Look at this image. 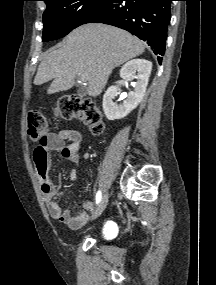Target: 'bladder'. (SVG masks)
<instances>
[{"mask_svg": "<svg viewBox=\"0 0 216 285\" xmlns=\"http://www.w3.org/2000/svg\"><path fill=\"white\" fill-rule=\"evenodd\" d=\"M113 232H114L113 226L109 223H106L101 231L103 237H110Z\"/></svg>", "mask_w": 216, "mask_h": 285, "instance_id": "31cf9c89", "label": "bladder"}]
</instances>
